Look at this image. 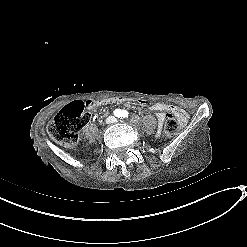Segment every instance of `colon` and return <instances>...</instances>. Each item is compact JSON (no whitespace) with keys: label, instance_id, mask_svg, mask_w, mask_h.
Segmentation results:
<instances>
[{"label":"colon","instance_id":"obj_1","mask_svg":"<svg viewBox=\"0 0 247 247\" xmlns=\"http://www.w3.org/2000/svg\"><path fill=\"white\" fill-rule=\"evenodd\" d=\"M148 103L140 98L125 97V96H108L88 101L85 104L80 102L72 103L61 110L55 119L49 124L47 132L49 136L67 146L75 145L78 141L79 132L89 122V116L86 111H92L101 107L111 105H125L146 108ZM178 129L176 118L167 113L165 122V132L168 135H173Z\"/></svg>","mask_w":247,"mask_h":247}]
</instances>
